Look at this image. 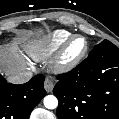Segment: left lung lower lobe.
Returning a JSON list of instances; mask_svg holds the SVG:
<instances>
[{
    "instance_id": "0a47b994",
    "label": "left lung lower lobe",
    "mask_w": 119,
    "mask_h": 119,
    "mask_svg": "<svg viewBox=\"0 0 119 119\" xmlns=\"http://www.w3.org/2000/svg\"><path fill=\"white\" fill-rule=\"evenodd\" d=\"M57 79L58 119H119V49L110 41Z\"/></svg>"
}]
</instances>
